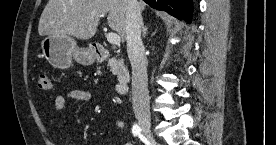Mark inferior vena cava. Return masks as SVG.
I'll list each match as a JSON object with an SVG mask.
<instances>
[{
    "label": "inferior vena cava",
    "instance_id": "602c4592",
    "mask_svg": "<svg viewBox=\"0 0 276 145\" xmlns=\"http://www.w3.org/2000/svg\"><path fill=\"white\" fill-rule=\"evenodd\" d=\"M127 52L132 66V105L136 116L150 115L145 49L141 39L142 16L138 0H125Z\"/></svg>",
    "mask_w": 276,
    "mask_h": 145
}]
</instances>
